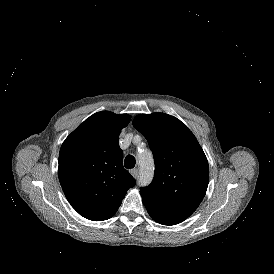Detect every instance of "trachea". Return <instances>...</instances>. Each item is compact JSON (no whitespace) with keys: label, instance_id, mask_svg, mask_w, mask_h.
I'll return each mask as SVG.
<instances>
[{"label":"trachea","instance_id":"obj_1","mask_svg":"<svg viewBox=\"0 0 274 274\" xmlns=\"http://www.w3.org/2000/svg\"><path fill=\"white\" fill-rule=\"evenodd\" d=\"M135 164H136V160L132 155L126 156V158L124 160V166L127 169H131V168L135 167Z\"/></svg>","mask_w":274,"mask_h":274}]
</instances>
